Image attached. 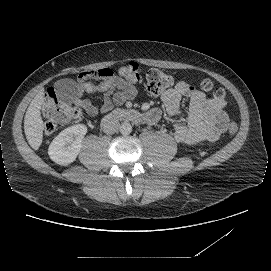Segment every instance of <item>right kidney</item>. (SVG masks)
<instances>
[{
    "mask_svg": "<svg viewBox=\"0 0 271 271\" xmlns=\"http://www.w3.org/2000/svg\"><path fill=\"white\" fill-rule=\"evenodd\" d=\"M86 132L83 124H74L61 131L49 146L51 159L58 164L71 163L80 151Z\"/></svg>",
    "mask_w": 271,
    "mask_h": 271,
    "instance_id": "right-kidney-1",
    "label": "right kidney"
}]
</instances>
